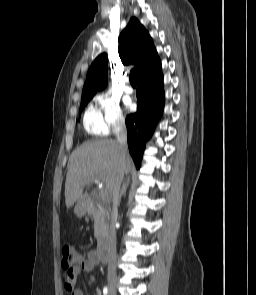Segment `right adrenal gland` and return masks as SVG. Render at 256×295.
Returning a JSON list of instances; mask_svg holds the SVG:
<instances>
[{
  "label": "right adrenal gland",
  "instance_id": "right-adrenal-gland-1",
  "mask_svg": "<svg viewBox=\"0 0 256 295\" xmlns=\"http://www.w3.org/2000/svg\"><path fill=\"white\" fill-rule=\"evenodd\" d=\"M129 183H130V178L128 177L126 180H124V182L122 184V188H121V192H120V200H121L122 196L126 194Z\"/></svg>",
  "mask_w": 256,
  "mask_h": 295
}]
</instances>
